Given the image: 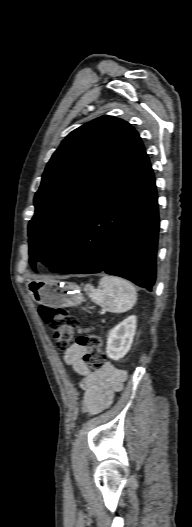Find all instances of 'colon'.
<instances>
[{
	"label": "colon",
	"mask_w": 192,
	"mask_h": 527,
	"mask_svg": "<svg viewBox=\"0 0 192 527\" xmlns=\"http://www.w3.org/2000/svg\"><path fill=\"white\" fill-rule=\"evenodd\" d=\"M39 314L49 326L58 347L66 348L74 337V329L78 324L76 317L65 309L45 305L39 307ZM76 344L86 349L83 360L89 367L100 368L104 365L102 340L94 333L92 327L86 328L85 332L77 338Z\"/></svg>",
	"instance_id": "1"
}]
</instances>
